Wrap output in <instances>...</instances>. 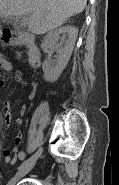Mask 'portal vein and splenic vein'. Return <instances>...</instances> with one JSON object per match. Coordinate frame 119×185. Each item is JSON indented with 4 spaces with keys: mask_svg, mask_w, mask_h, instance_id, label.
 I'll return each instance as SVG.
<instances>
[{
    "mask_svg": "<svg viewBox=\"0 0 119 185\" xmlns=\"http://www.w3.org/2000/svg\"><path fill=\"white\" fill-rule=\"evenodd\" d=\"M26 25H28V22H27L26 20H24V21L21 22V26L24 27V26H26Z\"/></svg>",
    "mask_w": 119,
    "mask_h": 185,
    "instance_id": "18ae733b",
    "label": "portal vein and splenic vein"
}]
</instances>
